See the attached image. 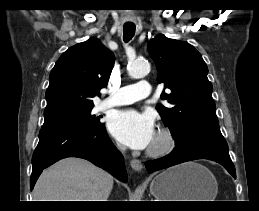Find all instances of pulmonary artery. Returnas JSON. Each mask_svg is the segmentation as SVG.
I'll use <instances>...</instances> for the list:
<instances>
[{"label": "pulmonary artery", "mask_w": 259, "mask_h": 211, "mask_svg": "<svg viewBox=\"0 0 259 211\" xmlns=\"http://www.w3.org/2000/svg\"><path fill=\"white\" fill-rule=\"evenodd\" d=\"M151 89L147 81H140L133 85L124 86L115 91L101 103V108L128 105L147 98Z\"/></svg>", "instance_id": "pulmonary-artery-1"}]
</instances>
